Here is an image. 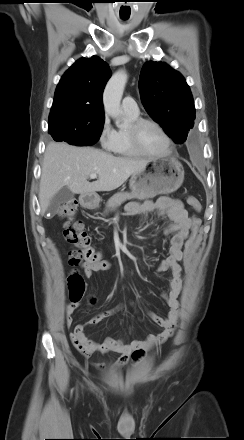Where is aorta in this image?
<instances>
[{"instance_id":"obj_1","label":"aorta","mask_w":244,"mask_h":440,"mask_svg":"<svg viewBox=\"0 0 244 440\" xmlns=\"http://www.w3.org/2000/svg\"><path fill=\"white\" fill-rule=\"evenodd\" d=\"M127 78L125 71H117L108 81L103 94L105 112L116 120L117 125H120L122 115L120 103Z\"/></svg>"}]
</instances>
